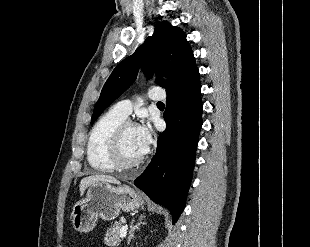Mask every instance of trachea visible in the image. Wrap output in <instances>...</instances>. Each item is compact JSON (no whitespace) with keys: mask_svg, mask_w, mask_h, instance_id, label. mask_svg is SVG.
<instances>
[{"mask_svg":"<svg viewBox=\"0 0 310 247\" xmlns=\"http://www.w3.org/2000/svg\"><path fill=\"white\" fill-rule=\"evenodd\" d=\"M157 104H158V105H164L162 102H158Z\"/></svg>","mask_w":310,"mask_h":247,"instance_id":"trachea-1","label":"trachea"}]
</instances>
